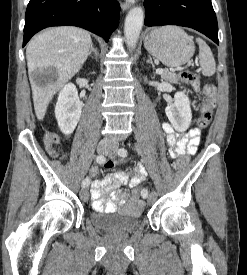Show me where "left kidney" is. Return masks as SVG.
Segmentation results:
<instances>
[{"mask_svg":"<svg viewBox=\"0 0 247 275\" xmlns=\"http://www.w3.org/2000/svg\"><path fill=\"white\" fill-rule=\"evenodd\" d=\"M165 113L176 131H186L192 120L189 98L183 92L175 93L174 101L166 107Z\"/></svg>","mask_w":247,"mask_h":275,"instance_id":"left-kidney-1","label":"left kidney"}]
</instances>
